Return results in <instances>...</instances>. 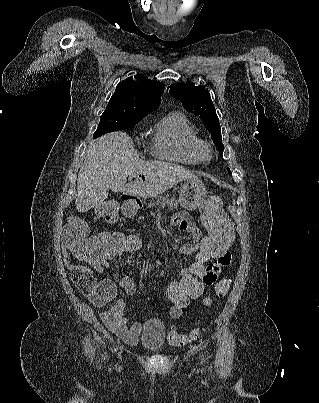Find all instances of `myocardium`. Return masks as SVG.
Returning <instances> with one entry per match:
<instances>
[{
	"instance_id": "1",
	"label": "myocardium",
	"mask_w": 319,
	"mask_h": 403,
	"mask_svg": "<svg viewBox=\"0 0 319 403\" xmlns=\"http://www.w3.org/2000/svg\"><path fill=\"white\" fill-rule=\"evenodd\" d=\"M195 151L200 161H208L211 158L212 148L210 144L204 140L197 139Z\"/></svg>"
}]
</instances>
